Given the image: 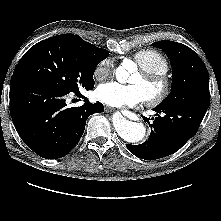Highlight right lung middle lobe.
<instances>
[{
  "label": "right lung middle lobe",
  "mask_w": 221,
  "mask_h": 221,
  "mask_svg": "<svg viewBox=\"0 0 221 221\" xmlns=\"http://www.w3.org/2000/svg\"><path fill=\"white\" fill-rule=\"evenodd\" d=\"M105 57L66 34L54 36L32 46L17 64L13 76L44 82L66 93L94 87L93 74Z\"/></svg>",
  "instance_id": "right-lung-middle-lobe-1"
}]
</instances>
